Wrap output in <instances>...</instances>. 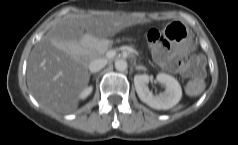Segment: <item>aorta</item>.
I'll return each instance as SVG.
<instances>
[{"label":"aorta","mask_w":238,"mask_h":145,"mask_svg":"<svg viewBox=\"0 0 238 145\" xmlns=\"http://www.w3.org/2000/svg\"><path fill=\"white\" fill-rule=\"evenodd\" d=\"M127 62L124 59H119L115 61V68L117 71L123 72L127 69Z\"/></svg>","instance_id":"762f6f07"}]
</instances>
